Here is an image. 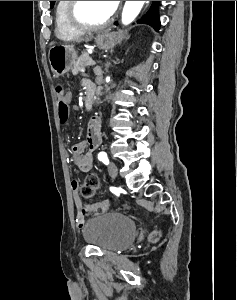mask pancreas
Returning <instances> with one entry per match:
<instances>
[{
    "label": "pancreas",
    "instance_id": "1",
    "mask_svg": "<svg viewBox=\"0 0 237 300\" xmlns=\"http://www.w3.org/2000/svg\"><path fill=\"white\" fill-rule=\"evenodd\" d=\"M91 59V57H89V55H87V53H84V55H81V57H78L76 63H74V67L72 69V73H75V75H83L86 67H88V65H86V62H89ZM95 65V63H94Z\"/></svg>",
    "mask_w": 237,
    "mask_h": 300
}]
</instances>
